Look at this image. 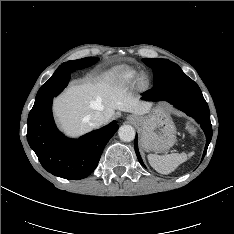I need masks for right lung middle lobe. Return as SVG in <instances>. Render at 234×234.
<instances>
[{
    "mask_svg": "<svg viewBox=\"0 0 234 234\" xmlns=\"http://www.w3.org/2000/svg\"><path fill=\"white\" fill-rule=\"evenodd\" d=\"M98 60H99V58L86 57L83 59L64 62L63 64H61L58 67L57 71L74 72L75 70L89 67V66L95 64Z\"/></svg>",
    "mask_w": 234,
    "mask_h": 234,
    "instance_id": "right-lung-middle-lobe-1",
    "label": "right lung middle lobe"
}]
</instances>
